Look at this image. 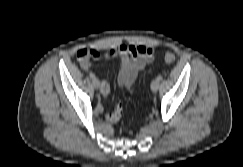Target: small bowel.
I'll return each instance as SVG.
<instances>
[{"instance_id": "c3829d8e", "label": "small bowel", "mask_w": 243, "mask_h": 167, "mask_svg": "<svg viewBox=\"0 0 243 167\" xmlns=\"http://www.w3.org/2000/svg\"><path fill=\"white\" fill-rule=\"evenodd\" d=\"M120 58V72L118 76L119 85L126 90H131L138 73L144 69L153 58V50L150 47L143 45H127L121 44L116 48H111L105 52L96 49H90L87 57L79 59L80 66L88 70L91 67L90 58L112 59ZM100 93L104 98L110 94V85L107 81H103L100 88ZM122 115V107L118 105L111 112L106 114V120L110 123L117 122Z\"/></svg>"}]
</instances>
